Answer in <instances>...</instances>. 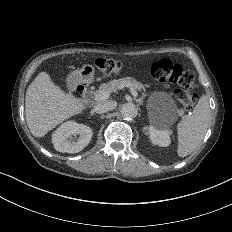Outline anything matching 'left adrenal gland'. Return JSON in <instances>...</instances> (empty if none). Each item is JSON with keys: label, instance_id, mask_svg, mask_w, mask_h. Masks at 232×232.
Masks as SVG:
<instances>
[{"label": "left adrenal gland", "instance_id": "left-adrenal-gland-1", "mask_svg": "<svg viewBox=\"0 0 232 232\" xmlns=\"http://www.w3.org/2000/svg\"><path fill=\"white\" fill-rule=\"evenodd\" d=\"M137 104L143 106L144 105V96H142L139 100H136Z\"/></svg>", "mask_w": 232, "mask_h": 232}]
</instances>
